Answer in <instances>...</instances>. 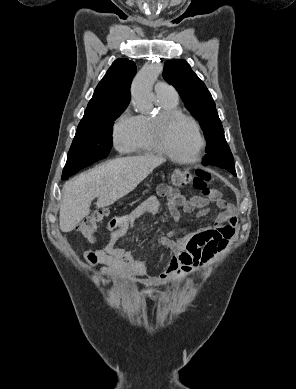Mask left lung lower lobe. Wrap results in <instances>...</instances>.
I'll list each match as a JSON object with an SVG mask.
<instances>
[{"label":"left lung lower lobe","instance_id":"1","mask_svg":"<svg viewBox=\"0 0 296 389\" xmlns=\"http://www.w3.org/2000/svg\"><path fill=\"white\" fill-rule=\"evenodd\" d=\"M209 155L211 158L209 163H211V164H208V165L217 164V162L215 160H217L219 162L226 163V164L232 163V161H233V155L230 151L228 144L226 143V140H224V142L220 143L218 146L213 148V151ZM215 166H217V165H215ZM226 167H227L226 170H228L229 172H231L233 175L236 176V171H235L234 165L230 164V166H226ZM221 168H223V167H221Z\"/></svg>","mask_w":296,"mask_h":389}]
</instances>
